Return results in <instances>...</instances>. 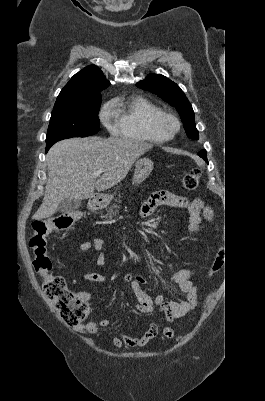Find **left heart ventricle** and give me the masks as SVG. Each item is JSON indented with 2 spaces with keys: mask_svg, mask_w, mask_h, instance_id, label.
Here are the masks:
<instances>
[{
  "mask_svg": "<svg viewBox=\"0 0 265 401\" xmlns=\"http://www.w3.org/2000/svg\"><path fill=\"white\" fill-rule=\"evenodd\" d=\"M173 131V124L169 121H160L157 127V134L160 137H167Z\"/></svg>",
  "mask_w": 265,
  "mask_h": 401,
  "instance_id": "left-heart-ventricle-1",
  "label": "left heart ventricle"
}]
</instances>
